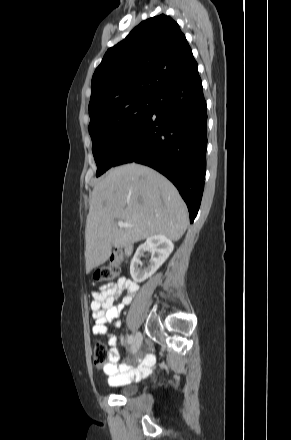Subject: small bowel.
I'll return each mask as SVG.
<instances>
[{
	"label": "small bowel",
	"mask_w": 291,
	"mask_h": 440,
	"mask_svg": "<svg viewBox=\"0 0 291 440\" xmlns=\"http://www.w3.org/2000/svg\"><path fill=\"white\" fill-rule=\"evenodd\" d=\"M123 289L126 290V295L119 304L114 305L115 298ZM136 291L137 284L135 282L120 277L116 283L101 285L92 292L91 311L95 320L92 331L95 335H103L108 338L109 361L103 366V370L111 386L122 385L146 376L152 371L154 365V358L151 355L139 358L137 360L138 366L121 364L117 338L112 334L113 328L120 327L118 320L120 312L132 302ZM121 342L124 340L121 339Z\"/></svg>",
	"instance_id": "obj_1"
}]
</instances>
